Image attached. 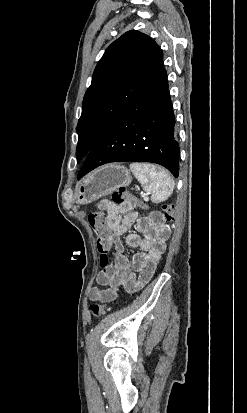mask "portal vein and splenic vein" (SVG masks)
<instances>
[{
  "mask_svg": "<svg viewBox=\"0 0 247 413\" xmlns=\"http://www.w3.org/2000/svg\"><path fill=\"white\" fill-rule=\"evenodd\" d=\"M140 196H141V197H147V196H148V193L143 191V192L140 193Z\"/></svg>",
  "mask_w": 247,
  "mask_h": 413,
  "instance_id": "18ae733b",
  "label": "portal vein and splenic vein"
}]
</instances>
